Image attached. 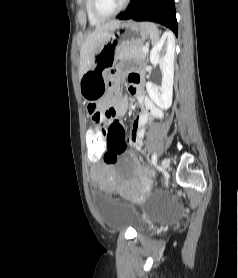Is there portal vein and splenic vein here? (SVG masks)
Returning a JSON list of instances; mask_svg holds the SVG:
<instances>
[{"label": "portal vein and splenic vein", "mask_w": 238, "mask_h": 278, "mask_svg": "<svg viewBox=\"0 0 238 278\" xmlns=\"http://www.w3.org/2000/svg\"><path fill=\"white\" fill-rule=\"evenodd\" d=\"M143 51L146 53L148 51V47H143Z\"/></svg>", "instance_id": "obj_1"}]
</instances>
